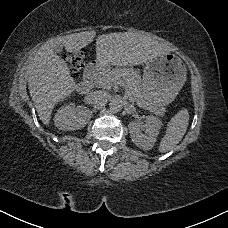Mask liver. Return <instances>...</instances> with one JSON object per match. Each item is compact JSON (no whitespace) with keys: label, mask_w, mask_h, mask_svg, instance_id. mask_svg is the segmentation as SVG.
<instances>
[{"label":"liver","mask_w":228,"mask_h":228,"mask_svg":"<svg viewBox=\"0 0 228 228\" xmlns=\"http://www.w3.org/2000/svg\"><path fill=\"white\" fill-rule=\"evenodd\" d=\"M97 31H83L49 41L30 58L29 94L39 121L45 128L51 125L55 108L72 99L82 85L73 77L68 65L54 54L57 44H62L69 54H78L91 45ZM101 67H133L153 62L172 52L157 41L138 32L110 33L101 36L97 43Z\"/></svg>","instance_id":"6515ba94"}]
</instances>
